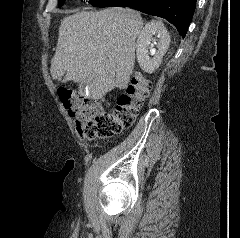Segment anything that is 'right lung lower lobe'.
I'll return each mask as SVG.
<instances>
[{
	"mask_svg": "<svg viewBox=\"0 0 240 238\" xmlns=\"http://www.w3.org/2000/svg\"><path fill=\"white\" fill-rule=\"evenodd\" d=\"M93 5L131 7L165 18L178 29L182 37H185L196 8V0H97Z\"/></svg>",
	"mask_w": 240,
	"mask_h": 238,
	"instance_id": "obj_1",
	"label": "right lung lower lobe"
}]
</instances>
